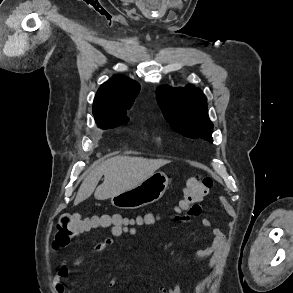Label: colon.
Instances as JSON below:
<instances>
[{"label": "colon", "instance_id": "1", "mask_svg": "<svg viewBox=\"0 0 293 293\" xmlns=\"http://www.w3.org/2000/svg\"><path fill=\"white\" fill-rule=\"evenodd\" d=\"M212 185L213 180L208 176H194L188 179L177 209L186 212L192 210L209 192ZM127 223L128 219L119 215H100L83 219L77 213H64L58 218L53 246L65 247L83 232L95 227L123 230Z\"/></svg>", "mask_w": 293, "mask_h": 293}]
</instances>
